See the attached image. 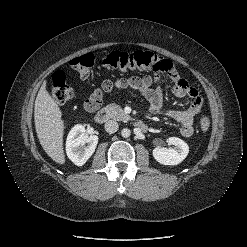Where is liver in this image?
Listing matches in <instances>:
<instances>
[{"label": "liver", "instance_id": "obj_1", "mask_svg": "<svg viewBox=\"0 0 247 247\" xmlns=\"http://www.w3.org/2000/svg\"><path fill=\"white\" fill-rule=\"evenodd\" d=\"M44 81L38 91L34 106L37 137L47 155L56 163H65L63 150L64 121L57 102L50 96Z\"/></svg>", "mask_w": 247, "mask_h": 247}]
</instances>
